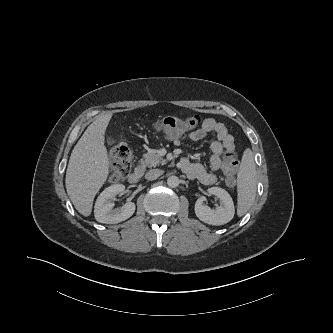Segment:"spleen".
Listing matches in <instances>:
<instances>
[{"label": "spleen", "instance_id": "1", "mask_svg": "<svg viewBox=\"0 0 333 333\" xmlns=\"http://www.w3.org/2000/svg\"><path fill=\"white\" fill-rule=\"evenodd\" d=\"M256 167L253 153L246 149L237 174L238 216H243L253 205L256 197Z\"/></svg>", "mask_w": 333, "mask_h": 333}]
</instances>
